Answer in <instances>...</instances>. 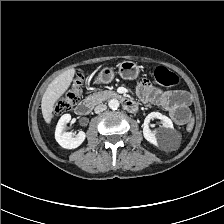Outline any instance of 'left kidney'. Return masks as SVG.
Here are the masks:
<instances>
[{"label":"left kidney","mask_w":224,"mask_h":224,"mask_svg":"<svg viewBox=\"0 0 224 224\" xmlns=\"http://www.w3.org/2000/svg\"><path fill=\"white\" fill-rule=\"evenodd\" d=\"M153 118L160 119L162 122V127L159 130L151 131L149 128L150 120ZM174 129L173 123L170 118L162 115L159 112L149 113L143 123V136L144 138L152 143L153 145H163L168 142V136L170 131Z\"/></svg>","instance_id":"1"}]
</instances>
